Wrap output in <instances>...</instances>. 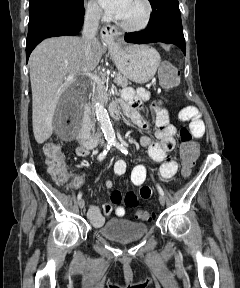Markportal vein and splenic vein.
Here are the masks:
<instances>
[{"instance_id": "1", "label": "portal vein and splenic vein", "mask_w": 240, "mask_h": 288, "mask_svg": "<svg viewBox=\"0 0 240 288\" xmlns=\"http://www.w3.org/2000/svg\"><path fill=\"white\" fill-rule=\"evenodd\" d=\"M82 75H86V76L90 77L94 82H97L100 85L104 84L103 80H101L96 75H93L92 73L87 72V73H83ZM73 78H74V75H68L66 78V81H71Z\"/></svg>"}]
</instances>
